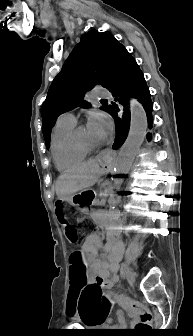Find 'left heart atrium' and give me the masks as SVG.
<instances>
[{"label": "left heart atrium", "instance_id": "obj_1", "mask_svg": "<svg viewBox=\"0 0 193 336\" xmlns=\"http://www.w3.org/2000/svg\"><path fill=\"white\" fill-rule=\"evenodd\" d=\"M112 127L110 118L104 113H93L87 124L89 133L96 141L102 142L108 136Z\"/></svg>", "mask_w": 193, "mask_h": 336}]
</instances>
